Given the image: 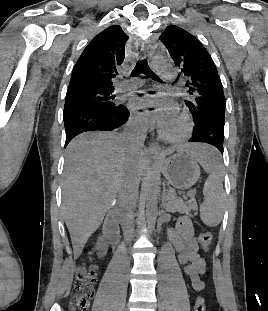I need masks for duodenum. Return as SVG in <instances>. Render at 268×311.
<instances>
[{
  "mask_svg": "<svg viewBox=\"0 0 268 311\" xmlns=\"http://www.w3.org/2000/svg\"><path fill=\"white\" fill-rule=\"evenodd\" d=\"M106 231L107 233L112 237L116 238L117 236V228H116V222L114 219H110L106 224Z\"/></svg>",
  "mask_w": 268,
  "mask_h": 311,
  "instance_id": "obj_1",
  "label": "duodenum"
}]
</instances>
